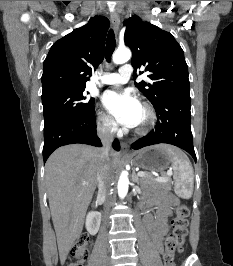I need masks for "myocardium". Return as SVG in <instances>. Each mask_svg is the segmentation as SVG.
<instances>
[{
    "label": "myocardium",
    "instance_id": "f54148a6",
    "mask_svg": "<svg viewBox=\"0 0 233 266\" xmlns=\"http://www.w3.org/2000/svg\"><path fill=\"white\" fill-rule=\"evenodd\" d=\"M141 107L146 113V121L142 125L136 127L135 133L138 135H145L154 127L157 115L153 106L148 102H143Z\"/></svg>",
    "mask_w": 233,
    "mask_h": 266
}]
</instances>
